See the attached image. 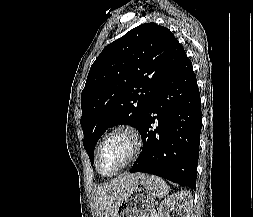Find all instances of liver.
<instances>
[{"instance_id": "6515ba94", "label": "liver", "mask_w": 253, "mask_h": 217, "mask_svg": "<svg viewBox=\"0 0 253 217\" xmlns=\"http://www.w3.org/2000/svg\"><path fill=\"white\" fill-rule=\"evenodd\" d=\"M142 174H123L98 186L94 191L95 217H116L118 207L132 191L135 181Z\"/></svg>"}]
</instances>
